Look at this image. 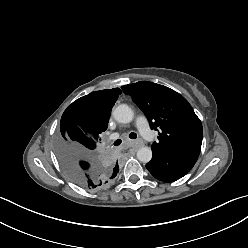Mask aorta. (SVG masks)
Here are the masks:
<instances>
[{
	"label": "aorta",
	"instance_id": "1",
	"mask_svg": "<svg viewBox=\"0 0 248 248\" xmlns=\"http://www.w3.org/2000/svg\"><path fill=\"white\" fill-rule=\"evenodd\" d=\"M113 116L119 123H130L133 120L134 113L132 109L126 104L118 105L114 111ZM137 158L140 162L147 163L152 158V150L149 147H142L137 151Z\"/></svg>",
	"mask_w": 248,
	"mask_h": 248
}]
</instances>
